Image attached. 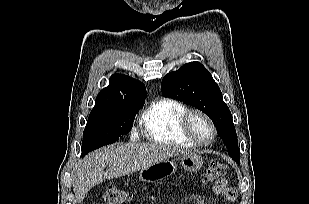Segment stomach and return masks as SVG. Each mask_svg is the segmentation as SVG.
<instances>
[{"mask_svg":"<svg viewBox=\"0 0 309 204\" xmlns=\"http://www.w3.org/2000/svg\"><path fill=\"white\" fill-rule=\"evenodd\" d=\"M180 160L182 168L187 172L198 171L203 164L202 157L196 153L186 152L181 155ZM177 167L176 159L170 157L140 170L139 179L146 183H156L174 174Z\"/></svg>","mask_w":309,"mask_h":204,"instance_id":"1","label":"stomach"}]
</instances>
